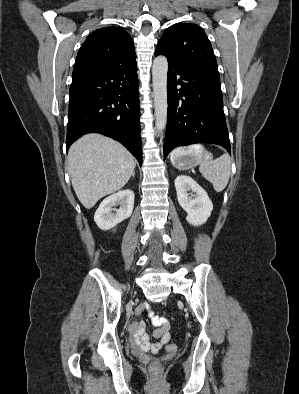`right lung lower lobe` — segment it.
Masks as SVG:
<instances>
[{
  "mask_svg": "<svg viewBox=\"0 0 299 394\" xmlns=\"http://www.w3.org/2000/svg\"><path fill=\"white\" fill-rule=\"evenodd\" d=\"M136 62L73 75L66 146L96 132L122 143L142 165Z\"/></svg>",
  "mask_w": 299,
  "mask_h": 394,
  "instance_id": "right-lung-lower-lobe-1",
  "label": "right lung lower lobe"
}]
</instances>
